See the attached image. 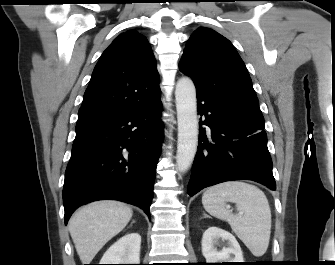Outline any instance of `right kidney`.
Returning a JSON list of instances; mask_svg holds the SVG:
<instances>
[{"instance_id": "obj_1", "label": "right kidney", "mask_w": 335, "mask_h": 265, "mask_svg": "<svg viewBox=\"0 0 335 265\" xmlns=\"http://www.w3.org/2000/svg\"><path fill=\"white\" fill-rule=\"evenodd\" d=\"M141 236L128 233L104 253L100 264H140Z\"/></svg>"}]
</instances>
